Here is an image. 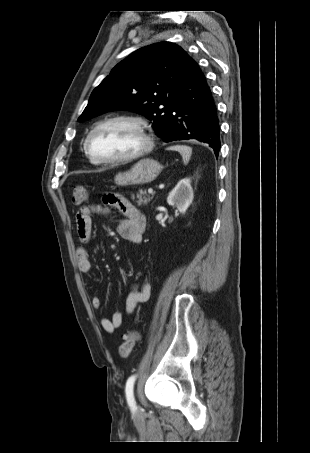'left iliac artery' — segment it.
I'll return each mask as SVG.
<instances>
[{
  "mask_svg": "<svg viewBox=\"0 0 310 453\" xmlns=\"http://www.w3.org/2000/svg\"><path fill=\"white\" fill-rule=\"evenodd\" d=\"M135 379H136V375L130 376L126 382V387H125L127 402H128V405L132 409H136V402H135L134 394H133Z\"/></svg>",
  "mask_w": 310,
  "mask_h": 453,
  "instance_id": "1",
  "label": "left iliac artery"
}]
</instances>
